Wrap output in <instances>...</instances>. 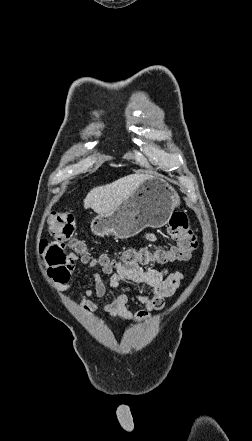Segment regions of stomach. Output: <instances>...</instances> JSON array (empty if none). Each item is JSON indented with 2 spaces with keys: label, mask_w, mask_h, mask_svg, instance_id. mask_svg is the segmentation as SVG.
Returning a JSON list of instances; mask_svg holds the SVG:
<instances>
[{
  "label": "stomach",
  "mask_w": 252,
  "mask_h": 441,
  "mask_svg": "<svg viewBox=\"0 0 252 441\" xmlns=\"http://www.w3.org/2000/svg\"><path fill=\"white\" fill-rule=\"evenodd\" d=\"M180 204L174 188L161 178H150L139 185L112 213L98 214L91 223L94 234L127 239L146 227L160 228L167 224Z\"/></svg>",
  "instance_id": "1"
}]
</instances>
